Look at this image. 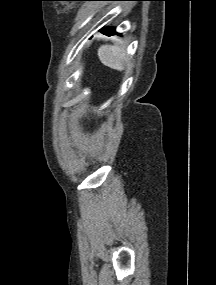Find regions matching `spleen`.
Wrapping results in <instances>:
<instances>
[{
  "mask_svg": "<svg viewBox=\"0 0 216 285\" xmlns=\"http://www.w3.org/2000/svg\"><path fill=\"white\" fill-rule=\"evenodd\" d=\"M100 61L107 67L122 71L129 59L125 57V47L121 45H102L98 49Z\"/></svg>",
  "mask_w": 216,
  "mask_h": 285,
  "instance_id": "3e777b00",
  "label": "spleen"
}]
</instances>
